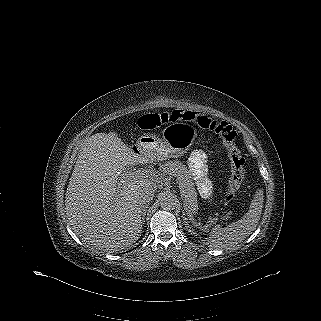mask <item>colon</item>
Masks as SVG:
<instances>
[{
	"mask_svg": "<svg viewBox=\"0 0 321 321\" xmlns=\"http://www.w3.org/2000/svg\"><path fill=\"white\" fill-rule=\"evenodd\" d=\"M175 121L195 122L204 129L216 132L223 139L232 161V175L226 191V199L230 200L241 186L245 174V158L236 145L237 133L233 127L225 121H218L210 116L202 115L193 111L174 110L152 113L142 116L138 120V126L142 129H155L163 124Z\"/></svg>",
	"mask_w": 321,
	"mask_h": 321,
	"instance_id": "obj_1",
	"label": "colon"
}]
</instances>
